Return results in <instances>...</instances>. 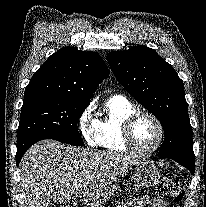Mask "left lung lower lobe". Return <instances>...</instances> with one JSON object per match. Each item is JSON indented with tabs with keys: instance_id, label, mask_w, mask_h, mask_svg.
Instances as JSON below:
<instances>
[{
	"instance_id": "1",
	"label": "left lung lower lobe",
	"mask_w": 206,
	"mask_h": 207,
	"mask_svg": "<svg viewBox=\"0 0 206 207\" xmlns=\"http://www.w3.org/2000/svg\"><path fill=\"white\" fill-rule=\"evenodd\" d=\"M179 164L185 166L190 170L192 174H194V164L190 162H185V161H177Z\"/></svg>"
}]
</instances>
